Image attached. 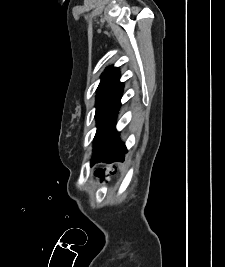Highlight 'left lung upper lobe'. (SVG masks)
I'll return each instance as SVG.
<instances>
[{
	"mask_svg": "<svg viewBox=\"0 0 225 267\" xmlns=\"http://www.w3.org/2000/svg\"><path fill=\"white\" fill-rule=\"evenodd\" d=\"M119 68L109 66L101 75V82L97 88L96 113L97 132L94 138V155L91 164L96 159L102 149L114 120L118 114L121 103L120 99L123 93V83L119 81Z\"/></svg>",
	"mask_w": 225,
	"mask_h": 267,
	"instance_id": "left-lung-upper-lobe-1",
	"label": "left lung upper lobe"
}]
</instances>
